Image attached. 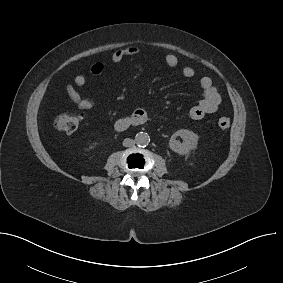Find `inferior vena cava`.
<instances>
[{"instance_id": "602c4592", "label": "inferior vena cava", "mask_w": 283, "mask_h": 283, "mask_svg": "<svg viewBox=\"0 0 283 283\" xmlns=\"http://www.w3.org/2000/svg\"><path fill=\"white\" fill-rule=\"evenodd\" d=\"M134 144H135V141L131 138H126L123 141V146L125 147H130V146H133Z\"/></svg>"}]
</instances>
